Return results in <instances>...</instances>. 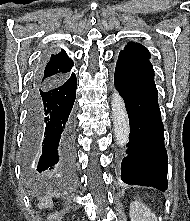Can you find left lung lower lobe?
Returning a JSON list of instances; mask_svg holds the SVG:
<instances>
[{"instance_id":"0a47b994","label":"left lung lower lobe","mask_w":190,"mask_h":221,"mask_svg":"<svg viewBox=\"0 0 190 221\" xmlns=\"http://www.w3.org/2000/svg\"><path fill=\"white\" fill-rule=\"evenodd\" d=\"M114 84L124 99L130 125L121 179L126 184L154 187L164 192L168 186V157L151 63L119 55Z\"/></svg>"}]
</instances>
